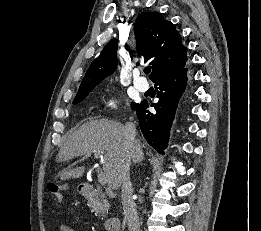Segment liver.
I'll return each mask as SVG.
<instances>
[{"label":"liver","instance_id":"1","mask_svg":"<svg viewBox=\"0 0 261 231\" xmlns=\"http://www.w3.org/2000/svg\"><path fill=\"white\" fill-rule=\"evenodd\" d=\"M135 142L141 149L140 142L138 140ZM95 151H106L103 170L109 187L118 189L122 184V173L128 164L130 166L132 160L125 139V127L121 123L107 119L90 120L84 123L67 138L58 152L56 161L68 162ZM84 172L85 166L64 170L60 173V179L80 178Z\"/></svg>","mask_w":261,"mask_h":231}]
</instances>
